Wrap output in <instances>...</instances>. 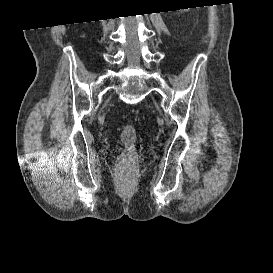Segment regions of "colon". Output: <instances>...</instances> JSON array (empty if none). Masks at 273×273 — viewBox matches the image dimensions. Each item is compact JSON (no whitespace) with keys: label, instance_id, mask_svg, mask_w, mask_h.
Wrapping results in <instances>:
<instances>
[{"label":"colon","instance_id":"obj_1","mask_svg":"<svg viewBox=\"0 0 273 273\" xmlns=\"http://www.w3.org/2000/svg\"><path fill=\"white\" fill-rule=\"evenodd\" d=\"M121 139L124 144V151L121 155L118 164V172L122 175L132 170L135 167L137 153H136V131L135 128L128 124L122 129Z\"/></svg>","mask_w":273,"mask_h":273}]
</instances>
